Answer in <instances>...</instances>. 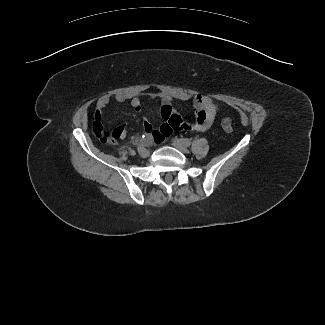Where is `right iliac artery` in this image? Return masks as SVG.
I'll return each instance as SVG.
<instances>
[{"mask_svg": "<svg viewBox=\"0 0 325 325\" xmlns=\"http://www.w3.org/2000/svg\"><path fill=\"white\" fill-rule=\"evenodd\" d=\"M143 149H145L143 146H138L137 147L138 152L142 151Z\"/></svg>", "mask_w": 325, "mask_h": 325, "instance_id": "right-iliac-artery-1", "label": "right iliac artery"}]
</instances>
